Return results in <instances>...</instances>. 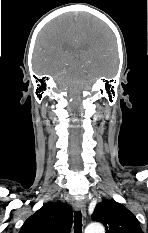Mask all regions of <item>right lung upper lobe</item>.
<instances>
[{"mask_svg": "<svg viewBox=\"0 0 148 233\" xmlns=\"http://www.w3.org/2000/svg\"><path fill=\"white\" fill-rule=\"evenodd\" d=\"M72 207L62 202H48L30 216L19 233H70Z\"/></svg>", "mask_w": 148, "mask_h": 233, "instance_id": "1", "label": "right lung upper lobe"}]
</instances>
